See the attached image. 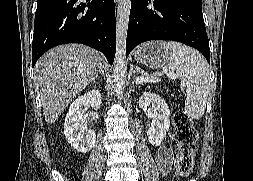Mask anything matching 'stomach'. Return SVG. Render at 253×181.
I'll list each match as a JSON object with an SVG mask.
<instances>
[{
  "label": "stomach",
  "instance_id": "obj_1",
  "mask_svg": "<svg viewBox=\"0 0 253 181\" xmlns=\"http://www.w3.org/2000/svg\"><path fill=\"white\" fill-rule=\"evenodd\" d=\"M162 44L160 41H151L140 45L135 51V60L150 68L160 67L165 60Z\"/></svg>",
  "mask_w": 253,
  "mask_h": 181
}]
</instances>
